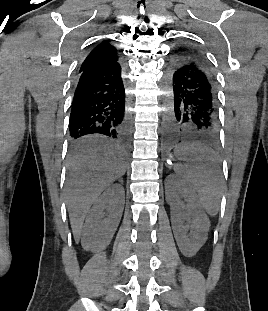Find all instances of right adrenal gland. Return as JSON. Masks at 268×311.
Instances as JSON below:
<instances>
[{
    "label": "right adrenal gland",
    "instance_id": "1",
    "mask_svg": "<svg viewBox=\"0 0 268 311\" xmlns=\"http://www.w3.org/2000/svg\"><path fill=\"white\" fill-rule=\"evenodd\" d=\"M120 182L123 183V180L121 179Z\"/></svg>",
    "mask_w": 268,
    "mask_h": 311
}]
</instances>
